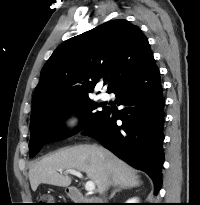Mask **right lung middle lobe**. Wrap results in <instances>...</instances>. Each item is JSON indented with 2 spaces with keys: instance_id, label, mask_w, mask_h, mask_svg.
Here are the masks:
<instances>
[{
  "instance_id": "dd1d6c3e",
  "label": "right lung middle lobe",
  "mask_w": 200,
  "mask_h": 205,
  "mask_svg": "<svg viewBox=\"0 0 200 205\" xmlns=\"http://www.w3.org/2000/svg\"><path fill=\"white\" fill-rule=\"evenodd\" d=\"M98 104L89 96L69 98L47 104L39 115L30 121V156H35L45 143L60 141L73 133H68L61 125L62 120L72 111H77L81 118L80 129L92 127L105 113L96 111Z\"/></svg>"
}]
</instances>
